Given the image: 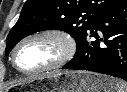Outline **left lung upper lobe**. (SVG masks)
<instances>
[{
    "label": "left lung upper lobe",
    "instance_id": "left-lung-upper-lobe-1",
    "mask_svg": "<svg viewBox=\"0 0 127 92\" xmlns=\"http://www.w3.org/2000/svg\"><path fill=\"white\" fill-rule=\"evenodd\" d=\"M121 0H27L6 40V55L24 37L47 29L63 30L77 44L97 20Z\"/></svg>",
    "mask_w": 127,
    "mask_h": 92
}]
</instances>
